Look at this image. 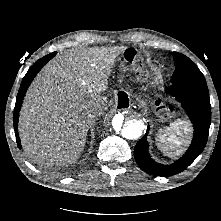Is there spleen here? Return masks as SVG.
Listing matches in <instances>:
<instances>
[{"label": "spleen", "mask_w": 221, "mask_h": 221, "mask_svg": "<svg viewBox=\"0 0 221 221\" xmlns=\"http://www.w3.org/2000/svg\"><path fill=\"white\" fill-rule=\"evenodd\" d=\"M191 131L189 122L178 119L170 124V126L161 131L158 136L159 148L169 156L180 153L181 147L186 145Z\"/></svg>", "instance_id": "1"}]
</instances>
